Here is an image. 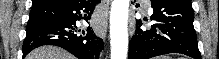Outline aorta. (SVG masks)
<instances>
[{"instance_id":"obj_1","label":"aorta","mask_w":219,"mask_h":59,"mask_svg":"<svg viewBox=\"0 0 219 59\" xmlns=\"http://www.w3.org/2000/svg\"><path fill=\"white\" fill-rule=\"evenodd\" d=\"M130 0H113L110 12L111 59H126L128 53V11Z\"/></svg>"}]
</instances>
